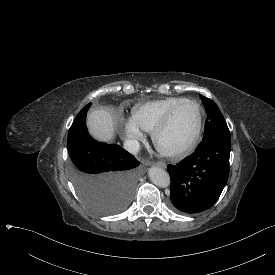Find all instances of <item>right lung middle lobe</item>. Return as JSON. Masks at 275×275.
Instances as JSON below:
<instances>
[{
    "mask_svg": "<svg viewBox=\"0 0 275 275\" xmlns=\"http://www.w3.org/2000/svg\"><path fill=\"white\" fill-rule=\"evenodd\" d=\"M91 104L82 108L69 129L70 177L91 211L113 215L129 206L142 168L120 146L98 142L90 136L86 116Z\"/></svg>",
    "mask_w": 275,
    "mask_h": 275,
    "instance_id": "dd1d6c3e",
    "label": "right lung middle lobe"
}]
</instances>
